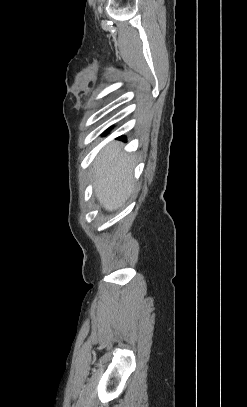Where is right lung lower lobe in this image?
I'll list each match as a JSON object with an SVG mask.
<instances>
[{
    "instance_id": "98d812e1",
    "label": "right lung lower lobe",
    "mask_w": 247,
    "mask_h": 407,
    "mask_svg": "<svg viewBox=\"0 0 247 407\" xmlns=\"http://www.w3.org/2000/svg\"><path fill=\"white\" fill-rule=\"evenodd\" d=\"M120 139L124 140V139H125V137H124V136H122V137H120Z\"/></svg>"
}]
</instances>
